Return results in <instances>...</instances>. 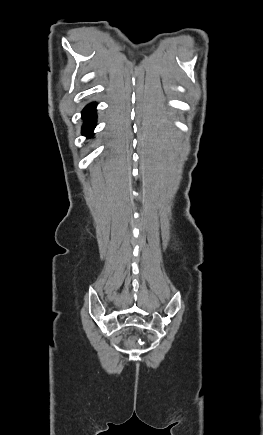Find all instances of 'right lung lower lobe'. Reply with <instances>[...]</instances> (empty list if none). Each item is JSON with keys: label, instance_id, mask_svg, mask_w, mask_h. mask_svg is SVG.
I'll return each mask as SVG.
<instances>
[{"label": "right lung lower lobe", "instance_id": "1", "mask_svg": "<svg viewBox=\"0 0 263 435\" xmlns=\"http://www.w3.org/2000/svg\"><path fill=\"white\" fill-rule=\"evenodd\" d=\"M96 106V103H91L87 105L82 112V118L84 120L82 134L86 135L87 137L92 135V132L96 126Z\"/></svg>", "mask_w": 263, "mask_h": 435}]
</instances>
